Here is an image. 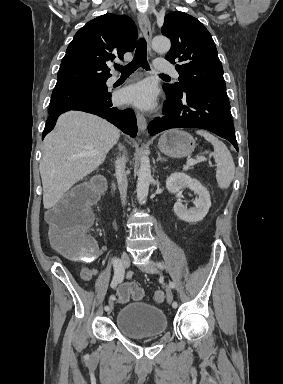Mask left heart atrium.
Listing matches in <instances>:
<instances>
[{"instance_id": "39dd6f15", "label": "left heart atrium", "mask_w": 283, "mask_h": 384, "mask_svg": "<svg viewBox=\"0 0 283 384\" xmlns=\"http://www.w3.org/2000/svg\"><path fill=\"white\" fill-rule=\"evenodd\" d=\"M117 100L121 104H132L140 108H150L156 100V88L144 81L122 89Z\"/></svg>"}]
</instances>
